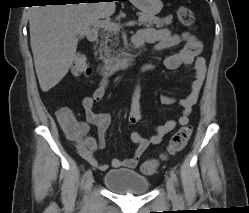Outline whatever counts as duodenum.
Returning <instances> with one entry per match:
<instances>
[{
  "label": "duodenum",
  "mask_w": 249,
  "mask_h": 213,
  "mask_svg": "<svg viewBox=\"0 0 249 213\" xmlns=\"http://www.w3.org/2000/svg\"><path fill=\"white\" fill-rule=\"evenodd\" d=\"M99 32L97 30H91L88 33V39L90 41H96L98 39ZM131 63V59L127 56L120 57L114 62L105 64L101 67V75L104 77L110 76L120 69L127 68Z\"/></svg>",
  "instance_id": "obj_1"
}]
</instances>
